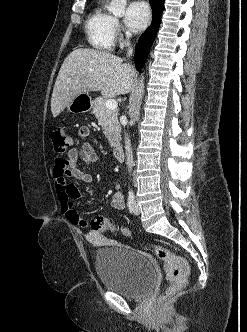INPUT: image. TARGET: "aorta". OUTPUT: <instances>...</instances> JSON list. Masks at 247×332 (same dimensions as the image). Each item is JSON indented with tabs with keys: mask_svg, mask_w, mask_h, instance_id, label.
<instances>
[{
	"mask_svg": "<svg viewBox=\"0 0 247 332\" xmlns=\"http://www.w3.org/2000/svg\"><path fill=\"white\" fill-rule=\"evenodd\" d=\"M126 0H111L108 11L117 17H122L125 14ZM144 94V76H141L139 86L137 89V108H140L141 100Z\"/></svg>",
	"mask_w": 247,
	"mask_h": 332,
	"instance_id": "762f6f07",
	"label": "aorta"
}]
</instances>
